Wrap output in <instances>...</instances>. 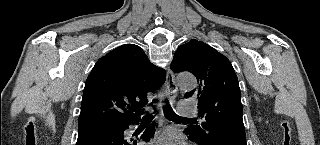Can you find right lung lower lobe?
Masks as SVG:
<instances>
[{"instance_id": "right-lung-lower-lobe-1", "label": "right lung lower lobe", "mask_w": 320, "mask_h": 145, "mask_svg": "<svg viewBox=\"0 0 320 145\" xmlns=\"http://www.w3.org/2000/svg\"><path fill=\"white\" fill-rule=\"evenodd\" d=\"M132 124H138L134 122ZM129 125H118L110 127H99L78 131L76 145H137L138 139L130 138L124 134ZM153 122L143 133L141 138L149 141V137L154 134Z\"/></svg>"}]
</instances>
